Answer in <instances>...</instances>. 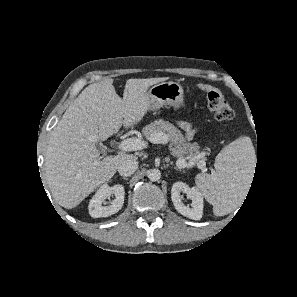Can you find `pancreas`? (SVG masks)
<instances>
[{"instance_id": "cf45deb5", "label": "pancreas", "mask_w": 297, "mask_h": 297, "mask_svg": "<svg viewBox=\"0 0 297 297\" xmlns=\"http://www.w3.org/2000/svg\"><path fill=\"white\" fill-rule=\"evenodd\" d=\"M157 132H162L167 136L168 139L172 140L173 145H175V147L172 148L173 156L177 158H184L185 155H188L189 157H195L199 153L198 146H190L187 144L181 131L167 121L162 119L155 120L142 129L143 136L147 139H149L152 134ZM204 160V157L199 156L197 159H192L190 162H192L193 165H201ZM202 170L204 171L205 168L203 167Z\"/></svg>"}]
</instances>
